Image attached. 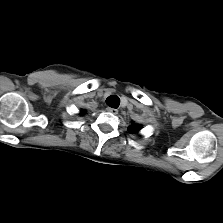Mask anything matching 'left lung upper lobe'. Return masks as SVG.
<instances>
[{
  "label": "left lung upper lobe",
  "mask_w": 223,
  "mask_h": 223,
  "mask_svg": "<svg viewBox=\"0 0 223 223\" xmlns=\"http://www.w3.org/2000/svg\"><path fill=\"white\" fill-rule=\"evenodd\" d=\"M140 129H141V125H139V124H134V125H132V126L129 127V131H130L131 133H136V132H138Z\"/></svg>",
  "instance_id": "left-lung-upper-lobe-1"
}]
</instances>
